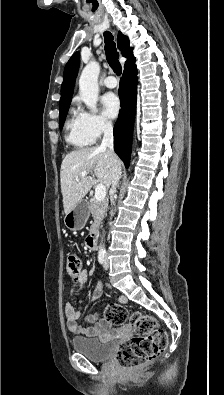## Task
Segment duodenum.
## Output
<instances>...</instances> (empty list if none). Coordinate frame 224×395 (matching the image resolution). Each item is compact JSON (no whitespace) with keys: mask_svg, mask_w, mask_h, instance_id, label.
<instances>
[{"mask_svg":"<svg viewBox=\"0 0 224 395\" xmlns=\"http://www.w3.org/2000/svg\"><path fill=\"white\" fill-rule=\"evenodd\" d=\"M97 238H98V227L94 225L92 226V229L86 238V245L88 249L95 250L97 248Z\"/></svg>","mask_w":224,"mask_h":395,"instance_id":"duodenum-1","label":"duodenum"}]
</instances>
